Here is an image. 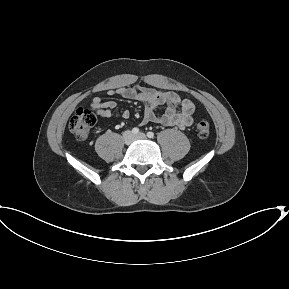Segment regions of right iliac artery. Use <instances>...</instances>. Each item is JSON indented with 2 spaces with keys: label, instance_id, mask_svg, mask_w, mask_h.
<instances>
[{
  "label": "right iliac artery",
  "instance_id": "1",
  "mask_svg": "<svg viewBox=\"0 0 289 289\" xmlns=\"http://www.w3.org/2000/svg\"><path fill=\"white\" fill-rule=\"evenodd\" d=\"M132 133L135 134V135L138 134L139 133V129L137 127L133 128L132 129Z\"/></svg>",
  "mask_w": 289,
  "mask_h": 289
}]
</instances>
